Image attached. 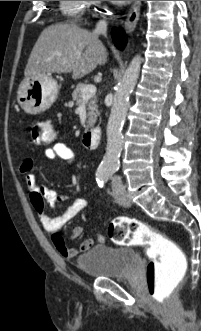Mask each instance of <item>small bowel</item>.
<instances>
[{"label": "small bowel", "mask_w": 201, "mask_h": 331, "mask_svg": "<svg viewBox=\"0 0 201 331\" xmlns=\"http://www.w3.org/2000/svg\"><path fill=\"white\" fill-rule=\"evenodd\" d=\"M44 154L46 158L51 160L62 159L68 163H72L74 160L73 151L66 144L61 142L53 143L51 147L45 150ZM33 166L34 161L32 159H26L21 163L19 171L25 179L28 187L30 202L35 209L42 226L46 231L52 233V241L55 249L64 258H73L86 252L94 244V240L92 238L84 240L78 247L68 246L69 241L77 239L82 235V227L77 226L73 228L68 238L59 233L62 227H64L84 210L86 207L85 199H75L63 214L56 217H51L45 209V202L53 205L57 201L62 200L63 197L38 183L36 176L33 174ZM96 241L98 243L104 242L103 235L98 234L96 236Z\"/></svg>", "instance_id": "1"}]
</instances>
